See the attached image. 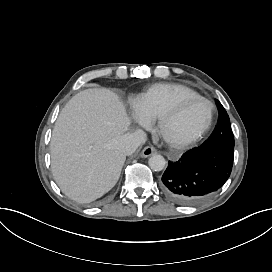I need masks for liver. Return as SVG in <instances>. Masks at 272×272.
I'll list each match as a JSON object with an SVG mask.
<instances>
[{
  "instance_id": "liver-1",
  "label": "liver",
  "mask_w": 272,
  "mask_h": 272,
  "mask_svg": "<svg viewBox=\"0 0 272 272\" xmlns=\"http://www.w3.org/2000/svg\"><path fill=\"white\" fill-rule=\"evenodd\" d=\"M128 126L123 105L107 89H87L68 101L50 143L52 173L64 194L89 203L116 185L126 160L117 140Z\"/></svg>"
}]
</instances>
